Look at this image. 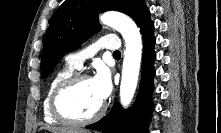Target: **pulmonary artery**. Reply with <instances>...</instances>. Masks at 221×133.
Segmentation results:
<instances>
[{
    "mask_svg": "<svg viewBox=\"0 0 221 133\" xmlns=\"http://www.w3.org/2000/svg\"><path fill=\"white\" fill-rule=\"evenodd\" d=\"M121 47L120 41L114 35H105L99 41L94 43L91 47L72 53L66 56L67 64L74 68L80 69L83 65V62L92 57L98 49H105L107 51H118Z\"/></svg>",
    "mask_w": 221,
    "mask_h": 133,
    "instance_id": "pulmonary-artery-1",
    "label": "pulmonary artery"
}]
</instances>
